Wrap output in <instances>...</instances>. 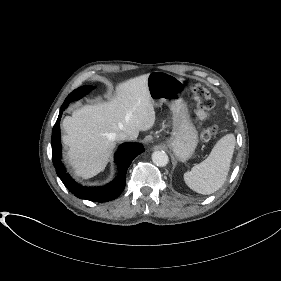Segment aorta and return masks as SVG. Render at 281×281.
I'll list each match as a JSON object with an SVG mask.
<instances>
[{
    "mask_svg": "<svg viewBox=\"0 0 281 281\" xmlns=\"http://www.w3.org/2000/svg\"><path fill=\"white\" fill-rule=\"evenodd\" d=\"M152 161L159 167H164L169 162V157L164 151H154L152 154Z\"/></svg>",
    "mask_w": 281,
    "mask_h": 281,
    "instance_id": "obj_1",
    "label": "aorta"
}]
</instances>
